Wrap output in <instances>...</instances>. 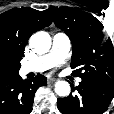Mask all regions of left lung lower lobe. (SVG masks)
I'll return each mask as SVG.
<instances>
[{
	"label": "left lung lower lobe",
	"mask_w": 114,
	"mask_h": 114,
	"mask_svg": "<svg viewBox=\"0 0 114 114\" xmlns=\"http://www.w3.org/2000/svg\"><path fill=\"white\" fill-rule=\"evenodd\" d=\"M77 94L57 99L62 114H103L114 97V85L92 79H82L73 87Z\"/></svg>",
	"instance_id": "obj_1"
}]
</instances>
